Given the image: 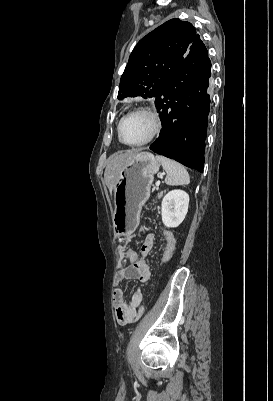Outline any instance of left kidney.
Returning <instances> with one entry per match:
<instances>
[{"mask_svg": "<svg viewBox=\"0 0 273 401\" xmlns=\"http://www.w3.org/2000/svg\"><path fill=\"white\" fill-rule=\"evenodd\" d=\"M189 205V194L185 190H170L165 194L161 215L165 227H178L184 221Z\"/></svg>", "mask_w": 273, "mask_h": 401, "instance_id": "left-kidney-1", "label": "left kidney"}]
</instances>
